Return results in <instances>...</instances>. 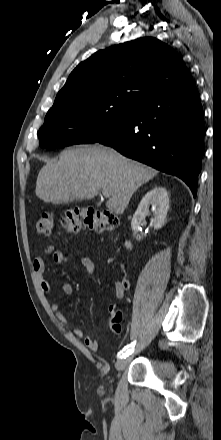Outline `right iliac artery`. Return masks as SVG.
<instances>
[{"label": "right iliac artery", "instance_id": "obj_1", "mask_svg": "<svg viewBox=\"0 0 221 440\" xmlns=\"http://www.w3.org/2000/svg\"><path fill=\"white\" fill-rule=\"evenodd\" d=\"M136 342H132L131 344H129L128 346H126L125 348H123L117 355V358H126L127 356L131 355L134 351V346H135Z\"/></svg>", "mask_w": 221, "mask_h": 440}]
</instances>
